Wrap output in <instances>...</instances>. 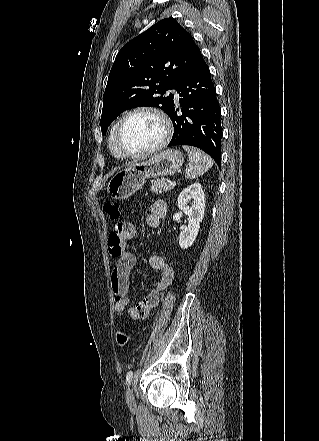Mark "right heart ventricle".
<instances>
[{
  "label": "right heart ventricle",
  "instance_id": "1",
  "mask_svg": "<svg viewBox=\"0 0 319 441\" xmlns=\"http://www.w3.org/2000/svg\"><path fill=\"white\" fill-rule=\"evenodd\" d=\"M115 126L116 123L112 126L110 133H109V137H108V145H109V149L112 153V155L117 158V159H123L125 158L123 155L120 154V152L117 150L116 146H115V142H114V131H115Z\"/></svg>",
  "mask_w": 319,
  "mask_h": 441
}]
</instances>
